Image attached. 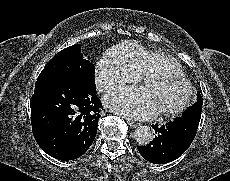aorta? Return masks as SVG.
<instances>
[{
    "instance_id": "762f6f07",
    "label": "aorta",
    "mask_w": 230,
    "mask_h": 181,
    "mask_svg": "<svg viewBox=\"0 0 230 181\" xmlns=\"http://www.w3.org/2000/svg\"><path fill=\"white\" fill-rule=\"evenodd\" d=\"M134 138L139 145L146 146L153 140L154 136L148 126H139L135 130Z\"/></svg>"
}]
</instances>
